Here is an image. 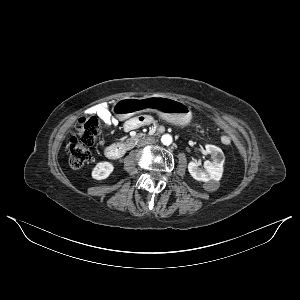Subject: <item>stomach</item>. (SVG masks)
<instances>
[{
  "instance_id": "0dacf381",
  "label": "stomach",
  "mask_w": 300,
  "mask_h": 300,
  "mask_svg": "<svg viewBox=\"0 0 300 300\" xmlns=\"http://www.w3.org/2000/svg\"><path fill=\"white\" fill-rule=\"evenodd\" d=\"M113 112L120 120H125L138 112H156L166 121L185 125L192 117L191 107L183 101L162 96H147L142 98H123L113 105Z\"/></svg>"
}]
</instances>
